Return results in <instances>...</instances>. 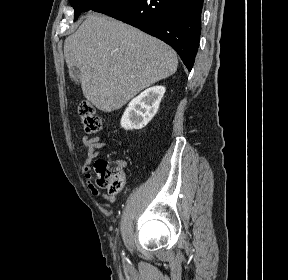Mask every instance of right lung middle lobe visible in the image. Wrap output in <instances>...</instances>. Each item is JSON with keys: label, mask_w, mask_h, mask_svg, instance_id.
Returning <instances> with one entry per match:
<instances>
[{"label": "right lung middle lobe", "mask_w": 288, "mask_h": 280, "mask_svg": "<svg viewBox=\"0 0 288 280\" xmlns=\"http://www.w3.org/2000/svg\"><path fill=\"white\" fill-rule=\"evenodd\" d=\"M69 1L71 3V6L75 10L74 20H76L80 15V13L92 10L110 0H69Z\"/></svg>", "instance_id": "dd1d6c3e"}]
</instances>
